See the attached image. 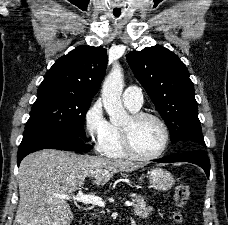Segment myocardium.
Returning <instances> with one entry per match:
<instances>
[{"label":"myocardium","mask_w":228,"mask_h":225,"mask_svg":"<svg viewBox=\"0 0 228 225\" xmlns=\"http://www.w3.org/2000/svg\"><path fill=\"white\" fill-rule=\"evenodd\" d=\"M147 118H151L159 122L164 130V135H165L164 144L159 152L153 155H145L139 152V150L136 148L134 144L132 132L128 127L124 126L122 128V135H123L124 148L130 156L140 160L151 161V160H156L160 158L167 151L170 143V130L165 120L157 114L149 113V112H135L131 116V120L133 123H139L142 120Z\"/></svg>","instance_id":"myocardium-1"}]
</instances>
